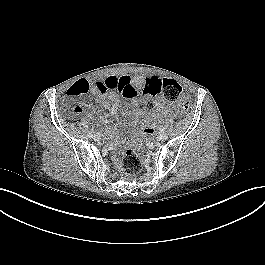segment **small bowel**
Wrapping results in <instances>:
<instances>
[{
    "instance_id": "1",
    "label": "small bowel",
    "mask_w": 265,
    "mask_h": 265,
    "mask_svg": "<svg viewBox=\"0 0 265 265\" xmlns=\"http://www.w3.org/2000/svg\"><path fill=\"white\" fill-rule=\"evenodd\" d=\"M154 79L160 80L162 77L152 75L131 78L129 76L109 75L103 78H94L92 80V84L95 86L94 98L108 110L110 115L114 116L117 114L118 108L121 105L120 97L132 102L137 107L143 98L155 96L152 92V81ZM106 91H109L108 100L105 99ZM165 109L163 102L159 100L158 110L163 112ZM143 120V112L141 109H137L132 113V126L135 127ZM102 121L106 122V118L103 117Z\"/></svg>"
}]
</instances>
